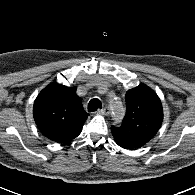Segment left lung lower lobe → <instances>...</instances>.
I'll use <instances>...</instances> for the list:
<instances>
[{"label":"left lung lower lobe","mask_w":195,"mask_h":195,"mask_svg":"<svg viewBox=\"0 0 195 195\" xmlns=\"http://www.w3.org/2000/svg\"><path fill=\"white\" fill-rule=\"evenodd\" d=\"M114 135H115V134H114ZM115 139H116V142H117V144H118L119 146H121V147H123V148H125V149H129V148H130V146H129L127 143L121 141L116 135H115Z\"/></svg>","instance_id":"obj_1"}]
</instances>
